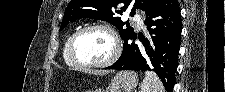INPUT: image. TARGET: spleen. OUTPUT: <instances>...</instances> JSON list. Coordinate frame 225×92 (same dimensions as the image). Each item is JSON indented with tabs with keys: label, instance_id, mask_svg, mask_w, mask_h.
<instances>
[{
	"label": "spleen",
	"instance_id": "3e777b00",
	"mask_svg": "<svg viewBox=\"0 0 225 92\" xmlns=\"http://www.w3.org/2000/svg\"><path fill=\"white\" fill-rule=\"evenodd\" d=\"M141 92H165V88L156 75V73L152 71H146L145 77L141 83Z\"/></svg>",
	"mask_w": 225,
	"mask_h": 92
}]
</instances>
